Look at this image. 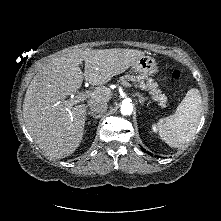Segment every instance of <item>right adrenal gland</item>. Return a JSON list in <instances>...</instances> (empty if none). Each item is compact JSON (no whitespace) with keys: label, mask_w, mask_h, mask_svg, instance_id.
<instances>
[{"label":"right adrenal gland","mask_w":221,"mask_h":221,"mask_svg":"<svg viewBox=\"0 0 221 221\" xmlns=\"http://www.w3.org/2000/svg\"><path fill=\"white\" fill-rule=\"evenodd\" d=\"M88 115L91 116L93 119H99L101 117V115H96L91 112H88Z\"/></svg>","instance_id":"2a0ac1e0"}]
</instances>
